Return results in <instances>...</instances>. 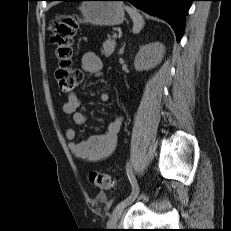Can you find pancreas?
Masks as SVG:
<instances>
[{"label": "pancreas", "mask_w": 231, "mask_h": 231, "mask_svg": "<svg viewBox=\"0 0 231 231\" xmlns=\"http://www.w3.org/2000/svg\"><path fill=\"white\" fill-rule=\"evenodd\" d=\"M115 46H116L115 40L109 38L103 43V47L101 49L102 54L105 55L106 57L110 56L114 52Z\"/></svg>", "instance_id": "1"}]
</instances>
